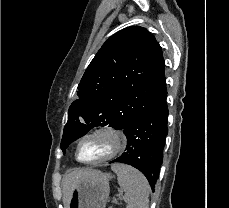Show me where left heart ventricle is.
<instances>
[{"label":"left heart ventricle","mask_w":229,"mask_h":208,"mask_svg":"<svg viewBox=\"0 0 229 208\" xmlns=\"http://www.w3.org/2000/svg\"><path fill=\"white\" fill-rule=\"evenodd\" d=\"M88 138V137H86ZM117 147H106L105 143H82L79 147V156L82 160H96L114 152Z\"/></svg>","instance_id":"left-heart-ventricle-1"}]
</instances>
